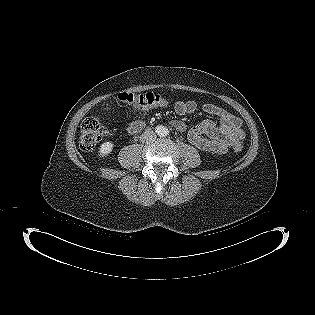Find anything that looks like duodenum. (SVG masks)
I'll return each instance as SVG.
<instances>
[{
    "mask_svg": "<svg viewBox=\"0 0 315 315\" xmlns=\"http://www.w3.org/2000/svg\"><path fill=\"white\" fill-rule=\"evenodd\" d=\"M142 128V124L139 122L132 123L129 127V131L134 133Z\"/></svg>",
    "mask_w": 315,
    "mask_h": 315,
    "instance_id": "1",
    "label": "duodenum"
}]
</instances>
